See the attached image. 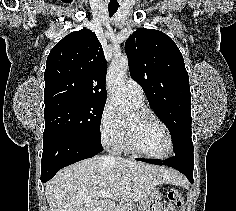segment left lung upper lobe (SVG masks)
Segmentation results:
<instances>
[{
    "label": "left lung upper lobe",
    "mask_w": 236,
    "mask_h": 211,
    "mask_svg": "<svg viewBox=\"0 0 236 211\" xmlns=\"http://www.w3.org/2000/svg\"><path fill=\"white\" fill-rule=\"evenodd\" d=\"M129 70L169 129L177 156H193L191 93L183 56L174 41L154 29H137L125 43Z\"/></svg>",
    "instance_id": "5c2ea615"
}]
</instances>
